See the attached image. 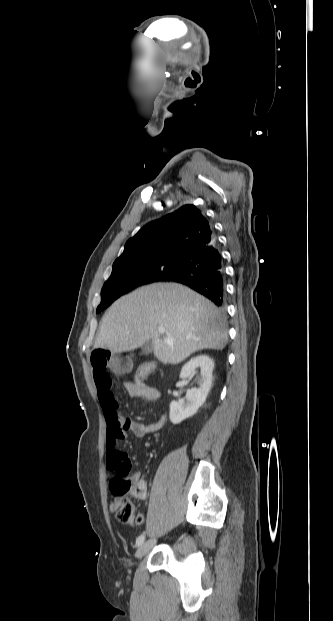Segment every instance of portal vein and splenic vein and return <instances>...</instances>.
Segmentation results:
<instances>
[{"label":"portal vein and splenic vein","instance_id":"18ae733b","mask_svg":"<svg viewBox=\"0 0 333 621\" xmlns=\"http://www.w3.org/2000/svg\"><path fill=\"white\" fill-rule=\"evenodd\" d=\"M165 329L164 328H159V333H164ZM168 342H170L169 340H167Z\"/></svg>","mask_w":333,"mask_h":621}]
</instances>
